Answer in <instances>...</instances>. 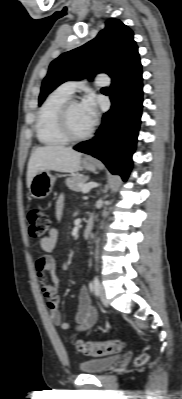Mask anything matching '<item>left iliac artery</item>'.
<instances>
[{
  "mask_svg": "<svg viewBox=\"0 0 182 399\" xmlns=\"http://www.w3.org/2000/svg\"><path fill=\"white\" fill-rule=\"evenodd\" d=\"M100 286H101V285H100V282H99L97 276H95V277H94V280H93V290H94V293H95L96 296L99 295Z\"/></svg>",
  "mask_w": 182,
  "mask_h": 399,
  "instance_id": "left-iliac-artery-1",
  "label": "left iliac artery"
}]
</instances>
